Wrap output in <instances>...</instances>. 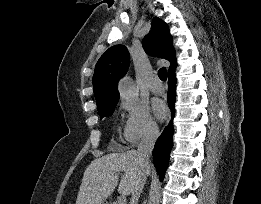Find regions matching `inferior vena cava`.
Instances as JSON below:
<instances>
[{
	"mask_svg": "<svg viewBox=\"0 0 261 204\" xmlns=\"http://www.w3.org/2000/svg\"><path fill=\"white\" fill-rule=\"evenodd\" d=\"M159 136V130L157 127H150L147 129L146 133L142 137L140 144L138 145V159L140 167L143 171L140 181L137 183L134 191L132 192V197L130 204H137L140 194L142 193L144 184L146 182L147 173L150 168L149 157L154 148L155 142Z\"/></svg>",
	"mask_w": 261,
	"mask_h": 204,
	"instance_id": "602c4592",
	"label": "inferior vena cava"
}]
</instances>
